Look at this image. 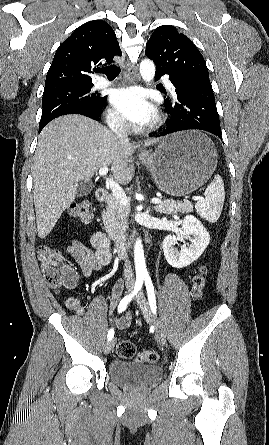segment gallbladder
Listing matches in <instances>:
<instances>
[{"label":"gallbladder","mask_w":269,"mask_h":445,"mask_svg":"<svg viewBox=\"0 0 269 445\" xmlns=\"http://www.w3.org/2000/svg\"><path fill=\"white\" fill-rule=\"evenodd\" d=\"M91 183H80L77 188V197L87 196L92 190Z\"/></svg>","instance_id":"bac80fb5"}]
</instances>
